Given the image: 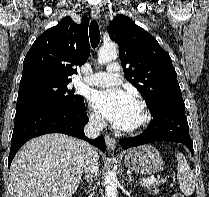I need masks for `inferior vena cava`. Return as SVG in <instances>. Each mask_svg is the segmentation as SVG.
Wrapping results in <instances>:
<instances>
[{
    "instance_id": "inferior-vena-cava-1",
    "label": "inferior vena cava",
    "mask_w": 209,
    "mask_h": 197,
    "mask_svg": "<svg viewBox=\"0 0 209 197\" xmlns=\"http://www.w3.org/2000/svg\"><path fill=\"white\" fill-rule=\"evenodd\" d=\"M105 127V120L99 115H93L84 127V132L89 139H95ZM83 145L85 148V162L83 165L85 175L97 177L99 165L96 150L88 143L83 142Z\"/></svg>"
}]
</instances>
